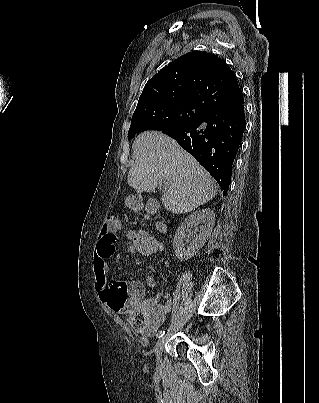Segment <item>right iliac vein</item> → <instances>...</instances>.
<instances>
[{"mask_svg": "<svg viewBox=\"0 0 319 403\" xmlns=\"http://www.w3.org/2000/svg\"><path fill=\"white\" fill-rule=\"evenodd\" d=\"M165 344V337L159 338V340L156 342V345L154 347V352L156 356V366L158 369L161 368V354L164 348Z\"/></svg>", "mask_w": 319, "mask_h": 403, "instance_id": "obj_1", "label": "right iliac vein"}]
</instances>
